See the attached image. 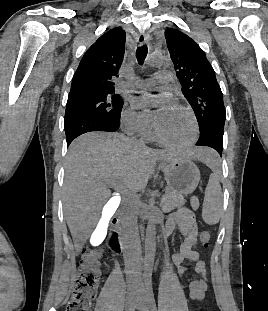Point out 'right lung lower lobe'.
<instances>
[{"label":"right lung lower lobe","mask_w":268,"mask_h":311,"mask_svg":"<svg viewBox=\"0 0 268 311\" xmlns=\"http://www.w3.org/2000/svg\"><path fill=\"white\" fill-rule=\"evenodd\" d=\"M119 126L120 119L115 122H109L89 116H78L64 124L67 146H69L70 143L81 134L91 131L114 132L119 128Z\"/></svg>","instance_id":"98d812e1"}]
</instances>
